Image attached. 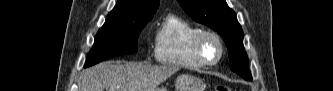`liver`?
I'll return each mask as SVG.
<instances>
[{
    "label": "liver",
    "mask_w": 333,
    "mask_h": 91,
    "mask_svg": "<svg viewBox=\"0 0 333 91\" xmlns=\"http://www.w3.org/2000/svg\"><path fill=\"white\" fill-rule=\"evenodd\" d=\"M178 70L175 66L102 62L82 74V91H155Z\"/></svg>",
    "instance_id": "obj_1"
}]
</instances>
